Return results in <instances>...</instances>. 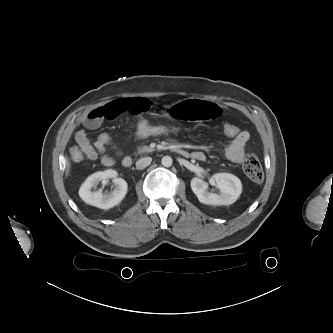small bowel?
<instances>
[{
	"label": "small bowel",
	"instance_id": "small-bowel-1",
	"mask_svg": "<svg viewBox=\"0 0 333 333\" xmlns=\"http://www.w3.org/2000/svg\"><path fill=\"white\" fill-rule=\"evenodd\" d=\"M152 106V102L147 99L120 98L91 110L83 120V128L76 133L75 139L78 149L87 159L96 160L99 158L103 166H112L114 164L113 158L105 154L106 147L112 144L111 137L102 133L92 143L87 131L97 129L104 120H111L125 113L135 115L138 122L146 121L141 117V114L149 111ZM249 137L248 132H240L224 149L225 157L234 163H242ZM192 156L200 161L205 159L204 153L199 151L193 152Z\"/></svg>",
	"mask_w": 333,
	"mask_h": 333
}]
</instances>
